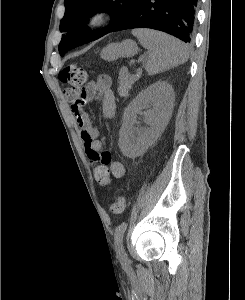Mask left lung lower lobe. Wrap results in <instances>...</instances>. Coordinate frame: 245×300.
Returning <instances> with one entry per match:
<instances>
[{
    "mask_svg": "<svg viewBox=\"0 0 245 300\" xmlns=\"http://www.w3.org/2000/svg\"><path fill=\"white\" fill-rule=\"evenodd\" d=\"M197 2L198 0H135L128 14L108 33L133 28H151L190 44L193 40ZM98 38L100 36L92 38L91 41Z\"/></svg>",
    "mask_w": 245,
    "mask_h": 300,
    "instance_id": "0a47b994",
    "label": "left lung lower lobe"
}]
</instances>
